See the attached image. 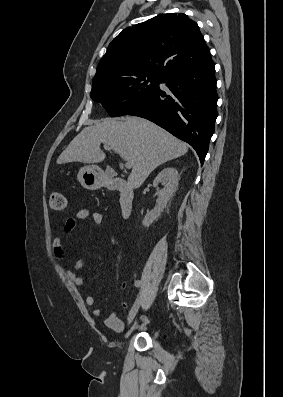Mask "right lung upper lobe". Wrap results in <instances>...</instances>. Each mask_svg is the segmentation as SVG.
<instances>
[{"label":"right lung upper lobe","mask_w":283,"mask_h":397,"mask_svg":"<svg viewBox=\"0 0 283 397\" xmlns=\"http://www.w3.org/2000/svg\"><path fill=\"white\" fill-rule=\"evenodd\" d=\"M211 60L198 25L182 13L155 16L124 29L99 62L93 82L170 74Z\"/></svg>","instance_id":"cb5924a9"}]
</instances>
